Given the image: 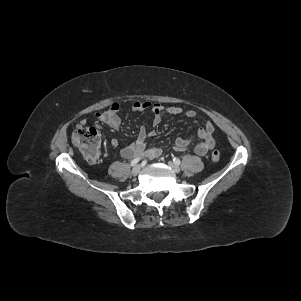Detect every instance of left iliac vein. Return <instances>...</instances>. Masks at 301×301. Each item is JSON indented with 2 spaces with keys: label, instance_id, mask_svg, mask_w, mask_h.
<instances>
[{
  "label": "left iliac vein",
  "instance_id": "4c4485c4",
  "mask_svg": "<svg viewBox=\"0 0 301 301\" xmlns=\"http://www.w3.org/2000/svg\"><path fill=\"white\" fill-rule=\"evenodd\" d=\"M168 165L175 173L180 172V167L177 164H175L174 162L170 161V162H168Z\"/></svg>",
  "mask_w": 301,
  "mask_h": 301
}]
</instances>
